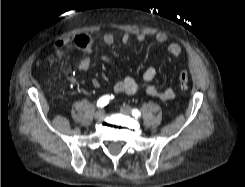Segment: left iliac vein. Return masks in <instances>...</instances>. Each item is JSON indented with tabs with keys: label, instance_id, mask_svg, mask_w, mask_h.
Segmentation results:
<instances>
[{
	"label": "left iliac vein",
	"instance_id": "1",
	"mask_svg": "<svg viewBox=\"0 0 245 187\" xmlns=\"http://www.w3.org/2000/svg\"><path fill=\"white\" fill-rule=\"evenodd\" d=\"M120 111L124 115H131L132 109L128 105H123V106H121Z\"/></svg>",
	"mask_w": 245,
	"mask_h": 187
}]
</instances>
